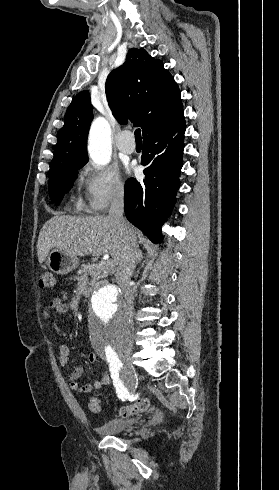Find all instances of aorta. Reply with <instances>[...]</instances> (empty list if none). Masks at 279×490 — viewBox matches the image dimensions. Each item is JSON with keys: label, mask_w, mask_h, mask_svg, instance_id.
I'll return each instance as SVG.
<instances>
[{"label": "aorta", "mask_w": 279, "mask_h": 490, "mask_svg": "<svg viewBox=\"0 0 279 490\" xmlns=\"http://www.w3.org/2000/svg\"><path fill=\"white\" fill-rule=\"evenodd\" d=\"M90 158L99 165L111 159V128L102 118H96L88 137ZM90 341L99 353H109L116 346L130 341L131 330L125 303L113 285L99 288L91 297L87 314Z\"/></svg>", "instance_id": "aorta-1"}]
</instances>
